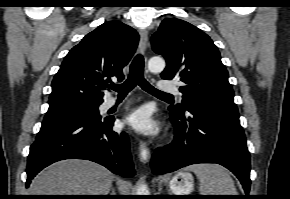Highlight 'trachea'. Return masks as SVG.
Wrapping results in <instances>:
<instances>
[{"instance_id":"3493384b","label":"trachea","mask_w":290,"mask_h":199,"mask_svg":"<svg viewBox=\"0 0 290 199\" xmlns=\"http://www.w3.org/2000/svg\"><path fill=\"white\" fill-rule=\"evenodd\" d=\"M144 58L141 54L134 57L127 80L122 84H112L110 89L118 92L119 96L127 95L134 87L139 85L144 91L156 96H171V94L161 92L148 83L143 76Z\"/></svg>"}]
</instances>
